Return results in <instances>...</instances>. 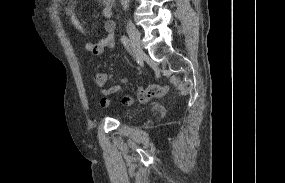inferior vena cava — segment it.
Wrapping results in <instances>:
<instances>
[{
    "mask_svg": "<svg viewBox=\"0 0 285 183\" xmlns=\"http://www.w3.org/2000/svg\"><path fill=\"white\" fill-rule=\"evenodd\" d=\"M130 0H121V4L123 5L124 9H127L129 6Z\"/></svg>",
    "mask_w": 285,
    "mask_h": 183,
    "instance_id": "obj_1",
    "label": "inferior vena cava"
}]
</instances>
